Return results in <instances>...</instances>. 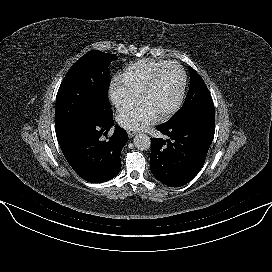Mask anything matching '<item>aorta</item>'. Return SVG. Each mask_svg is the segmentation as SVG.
I'll use <instances>...</instances> for the list:
<instances>
[{
  "instance_id": "1",
  "label": "aorta",
  "mask_w": 272,
  "mask_h": 272,
  "mask_svg": "<svg viewBox=\"0 0 272 272\" xmlns=\"http://www.w3.org/2000/svg\"><path fill=\"white\" fill-rule=\"evenodd\" d=\"M133 143L138 150H148L151 147V139L146 134H138L134 137Z\"/></svg>"
}]
</instances>
